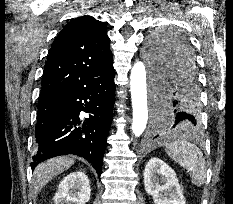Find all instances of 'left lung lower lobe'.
I'll return each mask as SVG.
<instances>
[{
  "mask_svg": "<svg viewBox=\"0 0 233 204\" xmlns=\"http://www.w3.org/2000/svg\"><path fill=\"white\" fill-rule=\"evenodd\" d=\"M171 60L169 68L153 74L155 110L150 139L173 131L198 133L201 129L200 115L191 116L182 111L183 107L200 111L195 60L186 54L172 56ZM165 103L168 108L162 112Z\"/></svg>",
  "mask_w": 233,
  "mask_h": 204,
  "instance_id": "1",
  "label": "left lung lower lobe"
}]
</instances>
